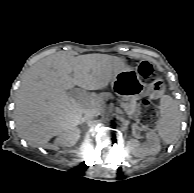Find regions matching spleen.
<instances>
[{"label":"spleen","instance_id":"obj_1","mask_svg":"<svg viewBox=\"0 0 194 193\" xmlns=\"http://www.w3.org/2000/svg\"><path fill=\"white\" fill-rule=\"evenodd\" d=\"M181 115L177 102L170 96L164 95L160 102V119L156 130L160 138L167 144H171L177 138L180 131Z\"/></svg>","mask_w":194,"mask_h":193}]
</instances>
